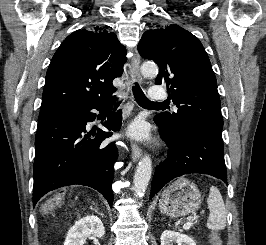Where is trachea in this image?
I'll return each instance as SVG.
<instances>
[{
	"mask_svg": "<svg viewBox=\"0 0 266 245\" xmlns=\"http://www.w3.org/2000/svg\"><path fill=\"white\" fill-rule=\"evenodd\" d=\"M133 93L135 96V99L137 103L145 105V106H150V105H162L164 102H151L146 95L143 93L139 85L135 82L133 85Z\"/></svg>",
	"mask_w": 266,
	"mask_h": 245,
	"instance_id": "1",
	"label": "trachea"
}]
</instances>
